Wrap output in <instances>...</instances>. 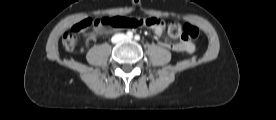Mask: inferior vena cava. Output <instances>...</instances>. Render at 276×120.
Instances as JSON below:
<instances>
[{
  "mask_svg": "<svg viewBox=\"0 0 276 120\" xmlns=\"http://www.w3.org/2000/svg\"><path fill=\"white\" fill-rule=\"evenodd\" d=\"M126 38V36L124 34H116L112 37V42L113 43H117L119 41H122Z\"/></svg>",
  "mask_w": 276,
  "mask_h": 120,
  "instance_id": "602c4592",
  "label": "inferior vena cava"
}]
</instances>
